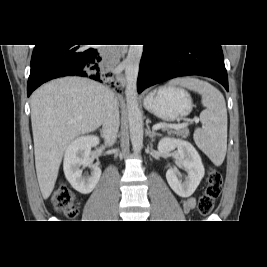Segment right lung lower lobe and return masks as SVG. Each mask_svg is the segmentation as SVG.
Wrapping results in <instances>:
<instances>
[{"label":"right lung lower lobe","instance_id":"98d812e1","mask_svg":"<svg viewBox=\"0 0 267 267\" xmlns=\"http://www.w3.org/2000/svg\"><path fill=\"white\" fill-rule=\"evenodd\" d=\"M63 76L88 77L103 82L110 73L100 52L89 45H36L31 58L27 96L41 84Z\"/></svg>","mask_w":267,"mask_h":267}]
</instances>
